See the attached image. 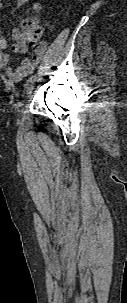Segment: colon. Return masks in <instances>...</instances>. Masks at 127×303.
Returning a JSON list of instances; mask_svg holds the SVG:
<instances>
[{"mask_svg": "<svg viewBox=\"0 0 127 303\" xmlns=\"http://www.w3.org/2000/svg\"><path fill=\"white\" fill-rule=\"evenodd\" d=\"M22 33L30 42H36L40 39L42 30L37 22L25 21L22 25Z\"/></svg>", "mask_w": 127, "mask_h": 303, "instance_id": "obj_1", "label": "colon"}]
</instances>
